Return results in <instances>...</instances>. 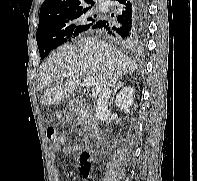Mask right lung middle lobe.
<instances>
[{
  "mask_svg": "<svg viewBox=\"0 0 197 181\" xmlns=\"http://www.w3.org/2000/svg\"><path fill=\"white\" fill-rule=\"evenodd\" d=\"M91 7H82L64 14L39 20L36 40L43 59L51 50L71 41L79 33L91 29L98 21Z\"/></svg>",
  "mask_w": 197,
  "mask_h": 181,
  "instance_id": "1",
  "label": "right lung middle lobe"
}]
</instances>
